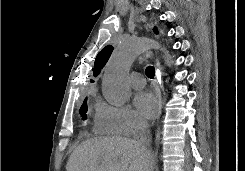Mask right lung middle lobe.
<instances>
[{
	"label": "right lung middle lobe",
	"mask_w": 245,
	"mask_h": 171,
	"mask_svg": "<svg viewBox=\"0 0 245 171\" xmlns=\"http://www.w3.org/2000/svg\"><path fill=\"white\" fill-rule=\"evenodd\" d=\"M79 112L82 114V118L83 119L87 118V115H86V112H87V99L84 100Z\"/></svg>",
	"instance_id": "right-lung-middle-lobe-1"
}]
</instances>
